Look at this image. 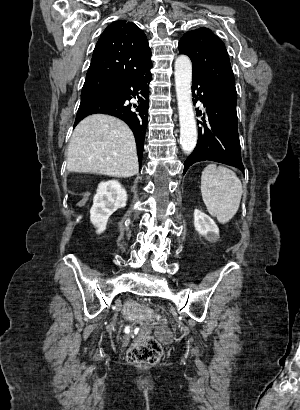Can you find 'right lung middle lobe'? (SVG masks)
<instances>
[{
	"mask_svg": "<svg viewBox=\"0 0 300 410\" xmlns=\"http://www.w3.org/2000/svg\"><path fill=\"white\" fill-rule=\"evenodd\" d=\"M108 86L107 84L104 83H98V82H85L84 86L82 88V94L83 93H87V92H91L103 87Z\"/></svg>",
	"mask_w": 300,
	"mask_h": 410,
	"instance_id": "dd1d6c3e",
	"label": "right lung middle lobe"
}]
</instances>
